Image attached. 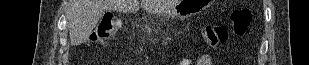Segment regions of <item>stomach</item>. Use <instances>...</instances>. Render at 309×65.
<instances>
[{"instance_id": "1", "label": "stomach", "mask_w": 309, "mask_h": 65, "mask_svg": "<svg viewBox=\"0 0 309 65\" xmlns=\"http://www.w3.org/2000/svg\"><path fill=\"white\" fill-rule=\"evenodd\" d=\"M213 0H180L166 15L180 20L200 14L212 4Z\"/></svg>"}]
</instances>
